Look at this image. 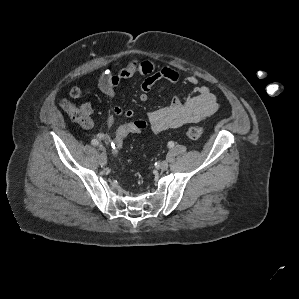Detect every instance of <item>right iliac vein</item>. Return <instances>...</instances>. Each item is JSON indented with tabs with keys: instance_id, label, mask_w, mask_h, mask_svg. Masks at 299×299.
Masks as SVG:
<instances>
[{
	"instance_id": "obj_1",
	"label": "right iliac vein",
	"mask_w": 299,
	"mask_h": 299,
	"mask_svg": "<svg viewBox=\"0 0 299 299\" xmlns=\"http://www.w3.org/2000/svg\"><path fill=\"white\" fill-rule=\"evenodd\" d=\"M99 149L103 150L102 145H99ZM99 163L101 165H106L107 164V158H106V155H105L104 152H101L100 155H99Z\"/></svg>"
}]
</instances>
